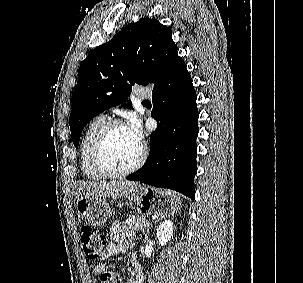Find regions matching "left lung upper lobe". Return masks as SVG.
<instances>
[{
  "label": "left lung upper lobe",
  "instance_id": "obj_1",
  "mask_svg": "<svg viewBox=\"0 0 303 283\" xmlns=\"http://www.w3.org/2000/svg\"><path fill=\"white\" fill-rule=\"evenodd\" d=\"M178 56L170 28L156 19L128 24L82 62L72 96L71 139L78 148L84 126L109 107L132 108V86L154 84Z\"/></svg>",
  "mask_w": 303,
  "mask_h": 283
}]
</instances>
